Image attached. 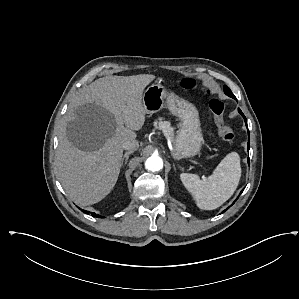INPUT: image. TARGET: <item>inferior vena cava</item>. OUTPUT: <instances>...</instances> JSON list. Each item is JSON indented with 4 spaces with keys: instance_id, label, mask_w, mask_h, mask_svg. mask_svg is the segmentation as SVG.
Segmentation results:
<instances>
[{
    "instance_id": "602c4592",
    "label": "inferior vena cava",
    "mask_w": 299,
    "mask_h": 299,
    "mask_svg": "<svg viewBox=\"0 0 299 299\" xmlns=\"http://www.w3.org/2000/svg\"><path fill=\"white\" fill-rule=\"evenodd\" d=\"M139 147V143L135 139H127L123 142L122 148L128 151H135Z\"/></svg>"
}]
</instances>
